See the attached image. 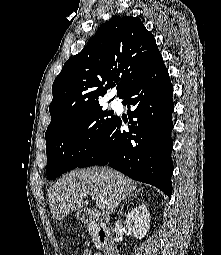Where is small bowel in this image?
Wrapping results in <instances>:
<instances>
[{"label": "small bowel", "mask_w": 221, "mask_h": 255, "mask_svg": "<svg viewBox=\"0 0 221 255\" xmlns=\"http://www.w3.org/2000/svg\"><path fill=\"white\" fill-rule=\"evenodd\" d=\"M82 255H101V254L100 253H91L90 251L85 250V251H83Z\"/></svg>", "instance_id": "c3829d8e"}]
</instances>
